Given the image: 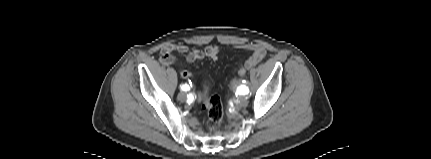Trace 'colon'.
I'll return each instance as SVG.
<instances>
[{"label": "colon", "mask_w": 431, "mask_h": 159, "mask_svg": "<svg viewBox=\"0 0 431 159\" xmlns=\"http://www.w3.org/2000/svg\"><path fill=\"white\" fill-rule=\"evenodd\" d=\"M246 75V70L244 67H239L237 71V76L239 78H244ZM180 78L183 80H194L193 75L189 69H180ZM209 84L204 83L203 94L201 90H194L193 96L196 101L203 100L204 107L207 111V121L206 125L210 130H217L221 126L223 118V106L219 96L209 95Z\"/></svg>", "instance_id": "obj_1"}]
</instances>
